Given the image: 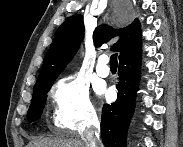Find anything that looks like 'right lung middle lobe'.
Here are the masks:
<instances>
[{
	"mask_svg": "<svg viewBox=\"0 0 183 147\" xmlns=\"http://www.w3.org/2000/svg\"><path fill=\"white\" fill-rule=\"evenodd\" d=\"M50 88L51 86L33 91V98L27 113V119L29 122H34L41 117L43 108L45 106L47 93Z\"/></svg>",
	"mask_w": 183,
	"mask_h": 147,
	"instance_id": "1",
	"label": "right lung middle lobe"
}]
</instances>
